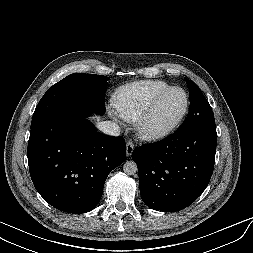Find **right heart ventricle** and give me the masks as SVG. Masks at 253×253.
<instances>
[{
	"instance_id": "1",
	"label": "right heart ventricle",
	"mask_w": 253,
	"mask_h": 253,
	"mask_svg": "<svg viewBox=\"0 0 253 253\" xmlns=\"http://www.w3.org/2000/svg\"><path fill=\"white\" fill-rule=\"evenodd\" d=\"M171 87L161 80H142L127 84L119 89L115 97V109L125 121L136 122L152 99Z\"/></svg>"
}]
</instances>
